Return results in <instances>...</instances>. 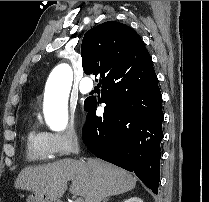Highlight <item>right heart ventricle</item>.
I'll return each instance as SVG.
<instances>
[{"instance_id": "obj_1", "label": "right heart ventricle", "mask_w": 209, "mask_h": 202, "mask_svg": "<svg viewBox=\"0 0 209 202\" xmlns=\"http://www.w3.org/2000/svg\"><path fill=\"white\" fill-rule=\"evenodd\" d=\"M54 157L55 154L45 141L44 133L38 130L35 123H31L26 132V158L33 162H43Z\"/></svg>"}]
</instances>
